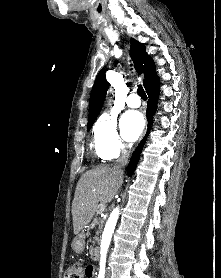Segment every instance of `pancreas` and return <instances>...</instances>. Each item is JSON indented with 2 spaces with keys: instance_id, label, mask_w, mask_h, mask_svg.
Masks as SVG:
<instances>
[{
  "instance_id": "obj_1",
  "label": "pancreas",
  "mask_w": 221,
  "mask_h": 278,
  "mask_svg": "<svg viewBox=\"0 0 221 278\" xmlns=\"http://www.w3.org/2000/svg\"><path fill=\"white\" fill-rule=\"evenodd\" d=\"M97 213H98V211H97ZM90 225H91V227H97L98 229H100L101 227H104V222H100L99 219H94Z\"/></svg>"
}]
</instances>
